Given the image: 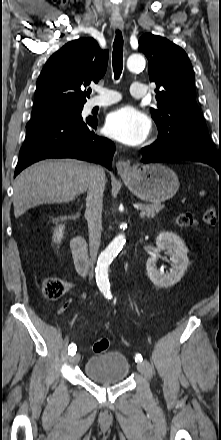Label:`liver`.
I'll return each instance as SVG.
<instances>
[{
  "label": "liver",
  "mask_w": 221,
  "mask_h": 440,
  "mask_svg": "<svg viewBox=\"0 0 221 440\" xmlns=\"http://www.w3.org/2000/svg\"><path fill=\"white\" fill-rule=\"evenodd\" d=\"M93 166L75 159L45 160L22 171L14 182L15 217L41 204L67 203L85 192Z\"/></svg>",
  "instance_id": "obj_1"
}]
</instances>
